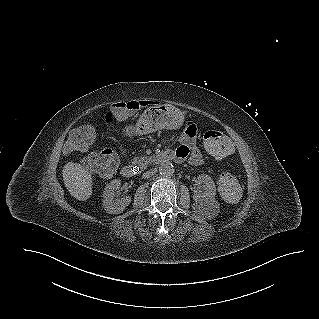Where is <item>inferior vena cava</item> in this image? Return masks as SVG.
Wrapping results in <instances>:
<instances>
[{
  "label": "inferior vena cava",
  "instance_id": "602c4592",
  "mask_svg": "<svg viewBox=\"0 0 319 319\" xmlns=\"http://www.w3.org/2000/svg\"><path fill=\"white\" fill-rule=\"evenodd\" d=\"M156 172H157L156 169H151V170H149V171L143 173V178H144V179L150 178V177L153 176Z\"/></svg>",
  "mask_w": 319,
  "mask_h": 319
}]
</instances>
